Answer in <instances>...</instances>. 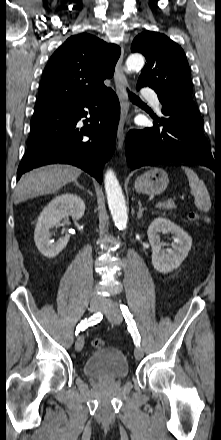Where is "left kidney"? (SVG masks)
I'll return each instance as SVG.
<instances>
[{"label": "left kidney", "instance_id": "5707ae66", "mask_svg": "<svg viewBox=\"0 0 221 440\" xmlns=\"http://www.w3.org/2000/svg\"><path fill=\"white\" fill-rule=\"evenodd\" d=\"M160 233H171L174 242L171 249H162L165 243L160 240ZM148 239L152 248V265L161 273L177 269L192 247V239L183 229L167 218L158 217L148 227Z\"/></svg>", "mask_w": 221, "mask_h": 440}]
</instances>
